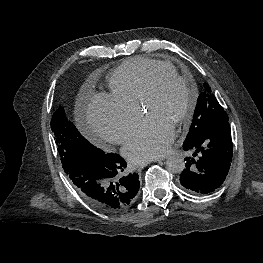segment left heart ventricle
<instances>
[{
    "label": "left heart ventricle",
    "instance_id": "b2bd125f",
    "mask_svg": "<svg viewBox=\"0 0 263 263\" xmlns=\"http://www.w3.org/2000/svg\"><path fill=\"white\" fill-rule=\"evenodd\" d=\"M189 103L186 87L177 80L164 81L156 96L145 106L144 114L167 123L173 129Z\"/></svg>",
    "mask_w": 263,
    "mask_h": 263
}]
</instances>
